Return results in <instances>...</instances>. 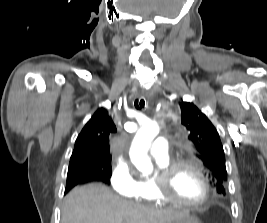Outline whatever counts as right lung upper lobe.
Masks as SVG:
<instances>
[{
  "label": "right lung upper lobe",
  "mask_w": 267,
  "mask_h": 223,
  "mask_svg": "<svg viewBox=\"0 0 267 223\" xmlns=\"http://www.w3.org/2000/svg\"><path fill=\"white\" fill-rule=\"evenodd\" d=\"M116 127L104 108L98 109L76 139L69 165L86 163L88 171L108 175L111 172L108 139Z\"/></svg>",
  "instance_id": "right-lung-upper-lobe-1"
}]
</instances>
